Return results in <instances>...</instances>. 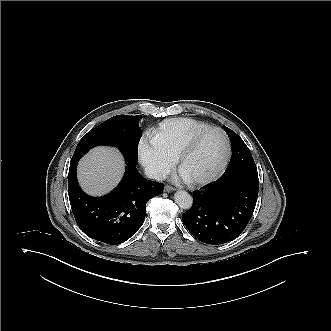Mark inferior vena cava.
Listing matches in <instances>:
<instances>
[{"mask_svg":"<svg viewBox=\"0 0 331 331\" xmlns=\"http://www.w3.org/2000/svg\"><path fill=\"white\" fill-rule=\"evenodd\" d=\"M144 174L147 178L156 181L166 179V173L159 167L148 165L144 168Z\"/></svg>","mask_w":331,"mask_h":331,"instance_id":"obj_1","label":"inferior vena cava"}]
</instances>
